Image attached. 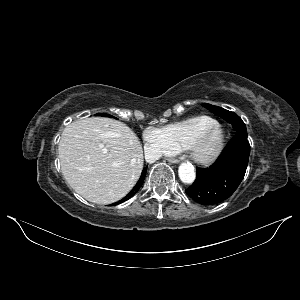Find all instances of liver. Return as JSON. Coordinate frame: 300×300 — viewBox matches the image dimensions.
<instances>
[{"instance_id":"6515ba94","label":"liver","mask_w":300,"mask_h":300,"mask_svg":"<svg viewBox=\"0 0 300 300\" xmlns=\"http://www.w3.org/2000/svg\"><path fill=\"white\" fill-rule=\"evenodd\" d=\"M58 153L67 183L97 204H111L126 196L143 169V149L136 134L124 123L106 117L68 125Z\"/></svg>"}]
</instances>
